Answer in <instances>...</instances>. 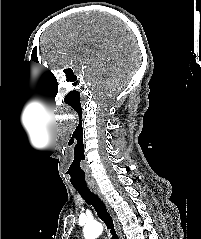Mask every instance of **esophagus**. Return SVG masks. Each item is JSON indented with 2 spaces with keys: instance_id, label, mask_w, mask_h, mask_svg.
<instances>
[{
  "instance_id": "34e87169",
  "label": "esophagus",
  "mask_w": 201,
  "mask_h": 239,
  "mask_svg": "<svg viewBox=\"0 0 201 239\" xmlns=\"http://www.w3.org/2000/svg\"><path fill=\"white\" fill-rule=\"evenodd\" d=\"M90 189L96 194L98 195V197L106 204L108 210L110 211V207L109 205L106 203V200L104 198V196L102 195L100 189L98 188V186H91ZM115 226H116V229H117V232H118V235H119V239H124L123 238V234L121 232V228L119 226V224L117 222H115Z\"/></svg>"
}]
</instances>
